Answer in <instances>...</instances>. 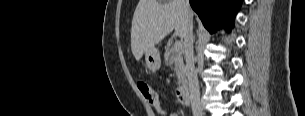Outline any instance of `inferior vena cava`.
<instances>
[{"label":"inferior vena cava","instance_id":"inferior-vena-cava-1","mask_svg":"<svg viewBox=\"0 0 305 116\" xmlns=\"http://www.w3.org/2000/svg\"><path fill=\"white\" fill-rule=\"evenodd\" d=\"M184 15L186 19L185 35H184V49H185V59H186V69L188 77V85L190 91L191 108L194 116H201V105H200V91L197 78V72L195 69V59H194V36H193V22L192 18L189 16L191 11L189 1L182 0Z\"/></svg>","mask_w":305,"mask_h":116}]
</instances>
